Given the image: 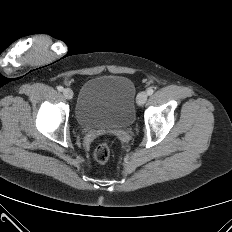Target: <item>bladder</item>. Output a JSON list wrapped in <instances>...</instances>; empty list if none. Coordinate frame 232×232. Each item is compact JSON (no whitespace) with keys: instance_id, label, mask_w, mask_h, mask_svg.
<instances>
[{"instance_id":"1","label":"bladder","mask_w":232,"mask_h":232,"mask_svg":"<svg viewBox=\"0 0 232 232\" xmlns=\"http://www.w3.org/2000/svg\"><path fill=\"white\" fill-rule=\"evenodd\" d=\"M133 82L120 75L95 76L81 87L75 116L84 128H127L135 119Z\"/></svg>"}]
</instances>
